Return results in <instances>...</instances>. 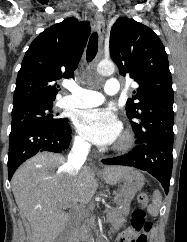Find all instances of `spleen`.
Segmentation results:
<instances>
[{"label": "spleen", "mask_w": 187, "mask_h": 242, "mask_svg": "<svg viewBox=\"0 0 187 242\" xmlns=\"http://www.w3.org/2000/svg\"><path fill=\"white\" fill-rule=\"evenodd\" d=\"M162 203V196L159 190H155L153 194L152 204L148 207V212L153 217H156L159 213V209Z\"/></svg>", "instance_id": "3e777b00"}]
</instances>
